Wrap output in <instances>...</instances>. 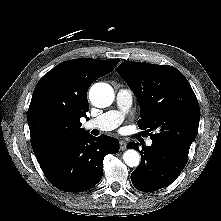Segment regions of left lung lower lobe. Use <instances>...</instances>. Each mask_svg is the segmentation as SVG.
<instances>
[{
	"mask_svg": "<svg viewBox=\"0 0 221 221\" xmlns=\"http://www.w3.org/2000/svg\"><path fill=\"white\" fill-rule=\"evenodd\" d=\"M127 148L137 149L138 145L129 143ZM141 163L132 172L131 180L139 191H156L167 187L181 173L187 163V157L168 145L154 142L143 146Z\"/></svg>",
	"mask_w": 221,
	"mask_h": 221,
	"instance_id": "obj_1",
	"label": "left lung lower lobe"
}]
</instances>
